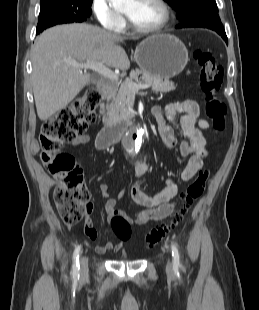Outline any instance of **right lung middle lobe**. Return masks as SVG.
<instances>
[{
	"label": "right lung middle lobe",
	"instance_id": "1",
	"mask_svg": "<svg viewBox=\"0 0 259 310\" xmlns=\"http://www.w3.org/2000/svg\"><path fill=\"white\" fill-rule=\"evenodd\" d=\"M93 0H41L36 32L62 23L82 22L90 16Z\"/></svg>",
	"mask_w": 259,
	"mask_h": 310
}]
</instances>
